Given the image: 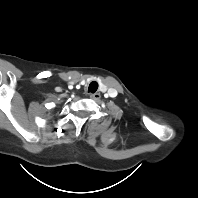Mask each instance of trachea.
<instances>
[{
    "label": "trachea",
    "instance_id": "1",
    "mask_svg": "<svg viewBox=\"0 0 198 198\" xmlns=\"http://www.w3.org/2000/svg\"><path fill=\"white\" fill-rule=\"evenodd\" d=\"M98 89V83L93 81L89 84V87H88V92L90 93H95Z\"/></svg>",
    "mask_w": 198,
    "mask_h": 198
}]
</instances>
